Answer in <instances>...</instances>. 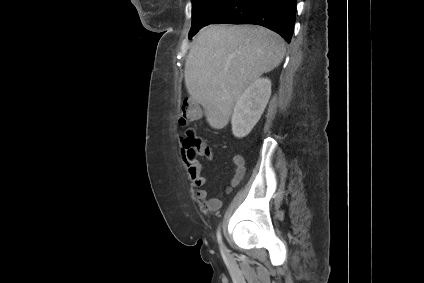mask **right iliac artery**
<instances>
[{
  "instance_id": "82829eb1",
  "label": "right iliac artery",
  "mask_w": 424,
  "mask_h": 283,
  "mask_svg": "<svg viewBox=\"0 0 424 283\" xmlns=\"http://www.w3.org/2000/svg\"><path fill=\"white\" fill-rule=\"evenodd\" d=\"M217 240H218V243L221 247V250L224 251L225 247H224V244L222 242V236H221L220 228H218V230H217Z\"/></svg>"
}]
</instances>
